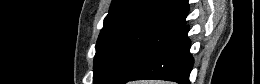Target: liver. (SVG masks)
Returning <instances> with one entry per match:
<instances>
[{
    "label": "liver",
    "instance_id": "6515ba94",
    "mask_svg": "<svg viewBox=\"0 0 260 84\" xmlns=\"http://www.w3.org/2000/svg\"><path fill=\"white\" fill-rule=\"evenodd\" d=\"M144 84H153L152 82H149V83H144ZM155 84H157V83H155Z\"/></svg>",
    "mask_w": 260,
    "mask_h": 84
}]
</instances>
